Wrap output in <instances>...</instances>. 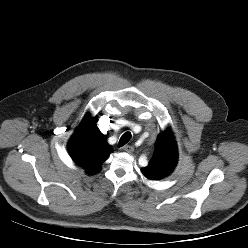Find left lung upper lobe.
Returning a JSON list of instances; mask_svg holds the SVG:
<instances>
[{
  "label": "left lung upper lobe",
  "mask_w": 248,
  "mask_h": 248,
  "mask_svg": "<svg viewBox=\"0 0 248 248\" xmlns=\"http://www.w3.org/2000/svg\"><path fill=\"white\" fill-rule=\"evenodd\" d=\"M177 161V146L171 130L167 129L157 137L153 157L141 172L147 179L161 180L173 172Z\"/></svg>",
  "instance_id": "left-lung-upper-lobe-1"
}]
</instances>
